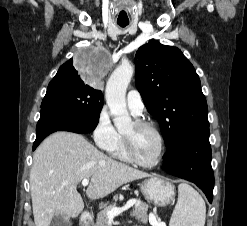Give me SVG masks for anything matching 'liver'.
<instances>
[{"label":"liver","mask_w":247,"mask_h":226,"mask_svg":"<svg viewBox=\"0 0 247 226\" xmlns=\"http://www.w3.org/2000/svg\"><path fill=\"white\" fill-rule=\"evenodd\" d=\"M149 174L115 161L82 135L56 132L36 149L30 171V190L35 226H49L56 215L77 217L84 202L77 185L91 179L90 199L104 198L121 185Z\"/></svg>","instance_id":"liver-1"}]
</instances>
